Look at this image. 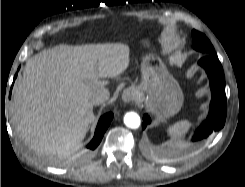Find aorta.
<instances>
[{"mask_svg":"<svg viewBox=\"0 0 245 187\" xmlns=\"http://www.w3.org/2000/svg\"><path fill=\"white\" fill-rule=\"evenodd\" d=\"M124 123L128 128L136 129L141 124L140 116L135 112H128L124 116Z\"/></svg>","mask_w":245,"mask_h":187,"instance_id":"aorta-1","label":"aorta"}]
</instances>
